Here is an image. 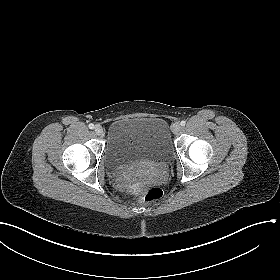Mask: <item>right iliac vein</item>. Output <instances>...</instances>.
<instances>
[{"mask_svg":"<svg viewBox=\"0 0 280 280\" xmlns=\"http://www.w3.org/2000/svg\"><path fill=\"white\" fill-rule=\"evenodd\" d=\"M94 131H95V133H96L97 135H101V134L103 133V128H102V126H100V125H96V126L94 127Z\"/></svg>","mask_w":280,"mask_h":280,"instance_id":"right-iliac-vein-1","label":"right iliac vein"}]
</instances>
